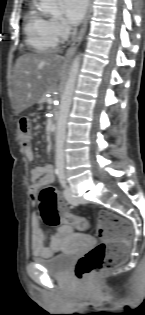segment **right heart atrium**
Returning <instances> with one entry per match:
<instances>
[{"instance_id":"d8ad5b80","label":"right heart atrium","mask_w":145,"mask_h":315,"mask_svg":"<svg viewBox=\"0 0 145 315\" xmlns=\"http://www.w3.org/2000/svg\"><path fill=\"white\" fill-rule=\"evenodd\" d=\"M50 26L57 38L64 39L70 33L68 25L60 18H51Z\"/></svg>"}]
</instances>
